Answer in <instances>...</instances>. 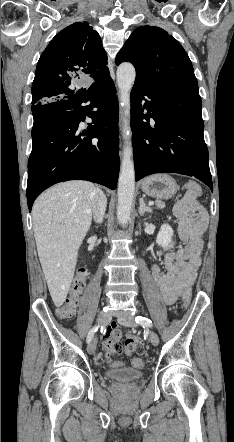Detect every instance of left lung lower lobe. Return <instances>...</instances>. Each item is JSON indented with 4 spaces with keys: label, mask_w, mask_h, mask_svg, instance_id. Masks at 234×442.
<instances>
[{
    "label": "left lung lower lobe",
    "mask_w": 234,
    "mask_h": 442,
    "mask_svg": "<svg viewBox=\"0 0 234 442\" xmlns=\"http://www.w3.org/2000/svg\"><path fill=\"white\" fill-rule=\"evenodd\" d=\"M201 110L198 89L134 84L131 126L136 181L175 172L194 176L213 190Z\"/></svg>",
    "instance_id": "0a47b994"
}]
</instances>
